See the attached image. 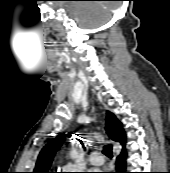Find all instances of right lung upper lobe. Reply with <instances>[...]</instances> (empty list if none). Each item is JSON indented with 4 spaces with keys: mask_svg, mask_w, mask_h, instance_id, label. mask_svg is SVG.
Wrapping results in <instances>:
<instances>
[{
    "mask_svg": "<svg viewBox=\"0 0 170 173\" xmlns=\"http://www.w3.org/2000/svg\"><path fill=\"white\" fill-rule=\"evenodd\" d=\"M106 133L108 136L117 142L125 145V133L122 124L111 112H107L106 116ZM67 135L60 134L55 139L50 141L40 152L33 173H49L48 170L52 163L53 157L59 147L63 144Z\"/></svg>",
    "mask_w": 170,
    "mask_h": 173,
    "instance_id": "1",
    "label": "right lung upper lobe"
}]
</instances>
